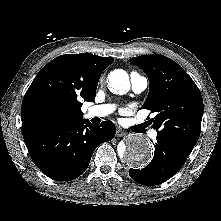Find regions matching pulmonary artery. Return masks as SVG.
<instances>
[{
  "mask_svg": "<svg viewBox=\"0 0 221 221\" xmlns=\"http://www.w3.org/2000/svg\"><path fill=\"white\" fill-rule=\"evenodd\" d=\"M130 82L131 87L134 93L140 94L142 93L148 86V79L137 72H132L130 74ZM114 110V106L111 104H102V105H95L88 109L87 116L92 117H105L111 114ZM150 136L155 138L157 136V132L152 130L150 132Z\"/></svg>",
  "mask_w": 221,
  "mask_h": 221,
  "instance_id": "e3ab8cb5",
  "label": "pulmonary artery"
}]
</instances>
